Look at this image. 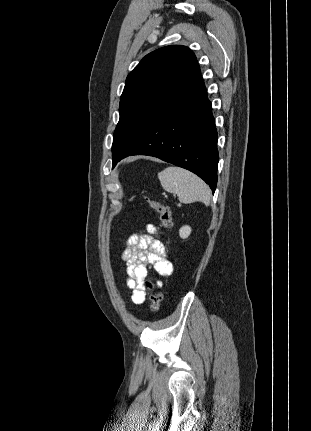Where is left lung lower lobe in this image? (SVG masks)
<instances>
[{
    "label": "left lung lower lobe",
    "mask_w": 311,
    "mask_h": 431,
    "mask_svg": "<svg viewBox=\"0 0 311 431\" xmlns=\"http://www.w3.org/2000/svg\"><path fill=\"white\" fill-rule=\"evenodd\" d=\"M217 131L199 71L160 109L112 168L131 155H149L190 170L214 193L217 184Z\"/></svg>",
    "instance_id": "0a47b994"
}]
</instances>
